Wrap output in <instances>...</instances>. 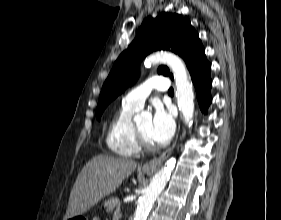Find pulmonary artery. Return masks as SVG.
Instances as JSON below:
<instances>
[{
  "label": "pulmonary artery",
  "instance_id": "pulmonary-artery-1",
  "mask_svg": "<svg viewBox=\"0 0 281 220\" xmlns=\"http://www.w3.org/2000/svg\"><path fill=\"white\" fill-rule=\"evenodd\" d=\"M170 83L166 77L153 76L129 91L123 98V102L127 105L139 110L143 107L145 100L152 90L167 91Z\"/></svg>",
  "mask_w": 281,
  "mask_h": 220
}]
</instances>
